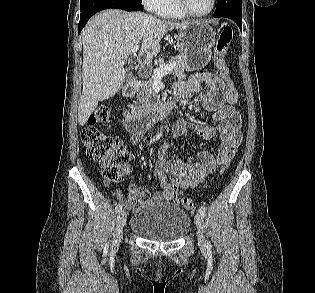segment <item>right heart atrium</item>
<instances>
[{
    "mask_svg": "<svg viewBox=\"0 0 315 293\" xmlns=\"http://www.w3.org/2000/svg\"><path fill=\"white\" fill-rule=\"evenodd\" d=\"M141 2L147 10L157 12L161 0H141Z\"/></svg>",
    "mask_w": 315,
    "mask_h": 293,
    "instance_id": "obj_1",
    "label": "right heart atrium"
}]
</instances>
